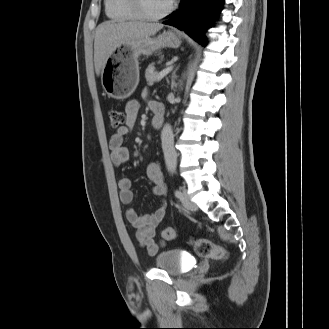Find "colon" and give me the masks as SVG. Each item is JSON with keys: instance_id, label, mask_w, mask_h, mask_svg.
<instances>
[{"instance_id": "1", "label": "colon", "mask_w": 329, "mask_h": 329, "mask_svg": "<svg viewBox=\"0 0 329 329\" xmlns=\"http://www.w3.org/2000/svg\"><path fill=\"white\" fill-rule=\"evenodd\" d=\"M110 125L113 128H121L125 125V114L118 109H112L109 112ZM175 228L165 227L162 230V236L165 240L171 241L175 238ZM191 245L195 253L203 258H210L214 260H225L227 258V252L224 248L215 245L208 238H194L191 239Z\"/></svg>"}]
</instances>
